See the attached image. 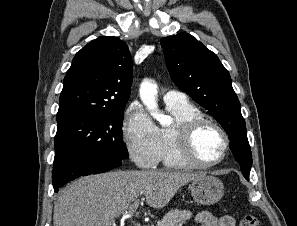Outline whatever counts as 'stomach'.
I'll use <instances>...</instances> for the list:
<instances>
[{
	"label": "stomach",
	"mask_w": 297,
	"mask_h": 226,
	"mask_svg": "<svg viewBox=\"0 0 297 226\" xmlns=\"http://www.w3.org/2000/svg\"><path fill=\"white\" fill-rule=\"evenodd\" d=\"M191 196L197 204L211 205L218 202L224 194V186L220 179L206 175L189 184Z\"/></svg>",
	"instance_id": "stomach-1"
}]
</instances>
